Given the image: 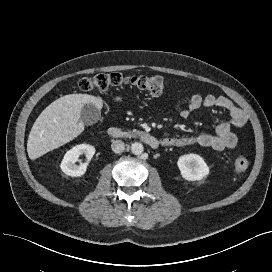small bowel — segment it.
I'll use <instances>...</instances> for the list:
<instances>
[{
  "label": "small bowel",
  "instance_id": "obj_1",
  "mask_svg": "<svg viewBox=\"0 0 272 272\" xmlns=\"http://www.w3.org/2000/svg\"><path fill=\"white\" fill-rule=\"evenodd\" d=\"M217 107L227 111L229 119L219 123L214 133H201L192 136L164 137L161 140L166 147H184L197 144L215 150L232 149L238 143L234 128H241L247 123V115L230 99L214 94L194 93L185 107L180 110V117L188 119L192 112L200 107Z\"/></svg>",
  "mask_w": 272,
  "mask_h": 272
}]
</instances>
